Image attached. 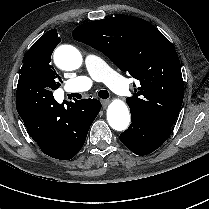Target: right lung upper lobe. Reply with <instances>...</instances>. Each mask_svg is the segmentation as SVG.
Here are the masks:
<instances>
[{"label": "right lung upper lobe", "instance_id": "1", "mask_svg": "<svg viewBox=\"0 0 209 209\" xmlns=\"http://www.w3.org/2000/svg\"><path fill=\"white\" fill-rule=\"evenodd\" d=\"M52 41L53 43L56 44V46L58 45V43L60 42V38H58V34L56 32V29H52L50 31H48L47 33H45L41 38H39L37 41ZM74 110H73V115L74 118L77 120H80L83 118V116L86 114V107H84L83 104H77L74 105Z\"/></svg>", "mask_w": 209, "mask_h": 209}]
</instances>
